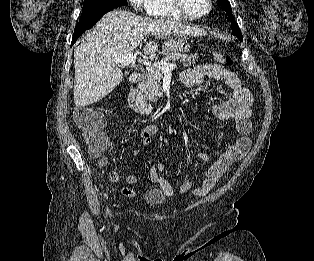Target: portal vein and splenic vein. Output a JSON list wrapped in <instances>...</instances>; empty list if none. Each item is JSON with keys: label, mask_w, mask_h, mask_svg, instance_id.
Returning a JSON list of instances; mask_svg holds the SVG:
<instances>
[{"label": "portal vein and splenic vein", "mask_w": 314, "mask_h": 261, "mask_svg": "<svg viewBox=\"0 0 314 261\" xmlns=\"http://www.w3.org/2000/svg\"><path fill=\"white\" fill-rule=\"evenodd\" d=\"M114 62L121 64L122 66H128L131 63H135L136 61L142 65H146L147 67H154L162 70L163 72H170L172 69L176 68L175 64L166 63L164 61L154 62L147 61L145 59L137 58V51L129 52L121 57H115Z\"/></svg>", "instance_id": "obj_1"}]
</instances>
